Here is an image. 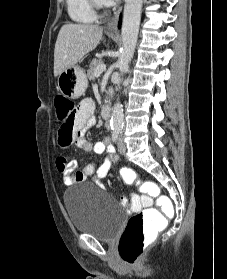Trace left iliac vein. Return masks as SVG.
Instances as JSON below:
<instances>
[{
  "mask_svg": "<svg viewBox=\"0 0 227 279\" xmlns=\"http://www.w3.org/2000/svg\"><path fill=\"white\" fill-rule=\"evenodd\" d=\"M126 151H127L126 144L124 143L123 138L120 137L118 140V152L121 155H124L126 153Z\"/></svg>",
  "mask_w": 227,
  "mask_h": 279,
  "instance_id": "4c4485c4",
  "label": "left iliac vein"
}]
</instances>
